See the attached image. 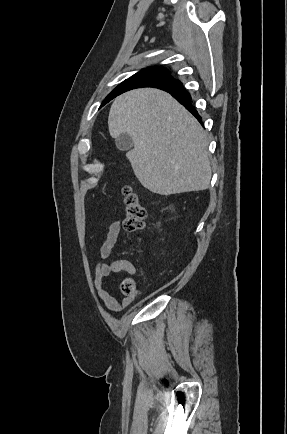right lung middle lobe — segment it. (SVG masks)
<instances>
[{
	"mask_svg": "<svg viewBox=\"0 0 287 434\" xmlns=\"http://www.w3.org/2000/svg\"><path fill=\"white\" fill-rule=\"evenodd\" d=\"M173 79L169 72L159 69H143L129 79L118 85L104 100L103 105L124 93L128 89L136 87H147L152 84L163 83Z\"/></svg>",
	"mask_w": 287,
	"mask_h": 434,
	"instance_id": "right-lung-middle-lobe-1",
	"label": "right lung middle lobe"
}]
</instances>
